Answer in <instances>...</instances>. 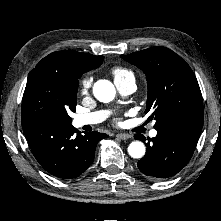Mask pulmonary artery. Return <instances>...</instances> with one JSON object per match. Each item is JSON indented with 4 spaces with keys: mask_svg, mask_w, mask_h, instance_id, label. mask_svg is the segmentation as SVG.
<instances>
[{
    "mask_svg": "<svg viewBox=\"0 0 221 221\" xmlns=\"http://www.w3.org/2000/svg\"><path fill=\"white\" fill-rule=\"evenodd\" d=\"M116 87L123 95H129L135 90V79L129 78L121 82H115ZM107 116L104 111H97L87 114H80L74 118V125L76 127H82L85 125H93L103 121ZM157 135V130L152 129L150 131V136L155 137Z\"/></svg>",
    "mask_w": 221,
    "mask_h": 221,
    "instance_id": "obj_1",
    "label": "pulmonary artery"
}]
</instances>
